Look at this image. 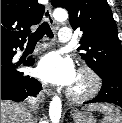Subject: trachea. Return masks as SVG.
I'll use <instances>...</instances> for the list:
<instances>
[{
    "instance_id": "trachea-1",
    "label": "trachea",
    "mask_w": 122,
    "mask_h": 123,
    "mask_svg": "<svg viewBox=\"0 0 122 123\" xmlns=\"http://www.w3.org/2000/svg\"><path fill=\"white\" fill-rule=\"evenodd\" d=\"M44 35H47L50 38H53V32L48 24V22H43L38 29L28 37V44L35 45L37 42L43 38Z\"/></svg>"
}]
</instances>
